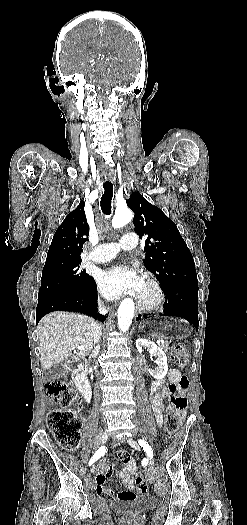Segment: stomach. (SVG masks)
<instances>
[{"mask_svg":"<svg viewBox=\"0 0 247 525\" xmlns=\"http://www.w3.org/2000/svg\"><path fill=\"white\" fill-rule=\"evenodd\" d=\"M139 328L148 335L167 341L183 339L188 335L186 321L177 318H154L140 323Z\"/></svg>","mask_w":247,"mask_h":525,"instance_id":"1","label":"stomach"}]
</instances>
